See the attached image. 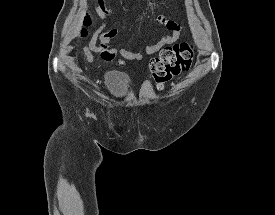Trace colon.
Segmentation results:
<instances>
[{
	"instance_id": "obj_1",
	"label": "colon",
	"mask_w": 275,
	"mask_h": 215,
	"mask_svg": "<svg viewBox=\"0 0 275 215\" xmlns=\"http://www.w3.org/2000/svg\"><path fill=\"white\" fill-rule=\"evenodd\" d=\"M91 23L90 16H87L84 21L85 27L90 26ZM82 35H86L85 30L82 31ZM193 60L194 51L190 42L181 41L163 48L157 56L151 59L149 64L156 85L162 88L173 77L189 71ZM119 63L123 64L122 61Z\"/></svg>"
}]
</instances>
